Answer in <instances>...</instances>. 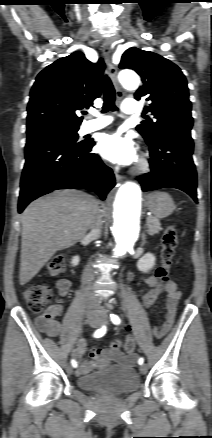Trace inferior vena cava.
I'll return each mask as SVG.
<instances>
[{
  "label": "inferior vena cava",
  "instance_id": "obj_1",
  "mask_svg": "<svg viewBox=\"0 0 212 438\" xmlns=\"http://www.w3.org/2000/svg\"><path fill=\"white\" fill-rule=\"evenodd\" d=\"M101 229L102 216L100 214L99 208H96L92 213L89 236L93 239L99 238L101 235ZM84 279L86 284H90L91 281L94 279V274L90 267L86 269ZM86 302L89 308H99L100 306L99 299L92 291L88 292Z\"/></svg>",
  "mask_w": 212,
  "mask_h": 438
}]
</instances>
